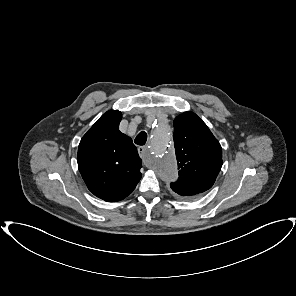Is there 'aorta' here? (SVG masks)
I'll use <instances>...</instances> for the list:
<instances>
[{"label":"aorta","mask_w":296,"mask_h":296,"mask_svg":"<svg viewBox=\"0 0 296 296\" xmlns=\"http://www.w3.org/2000/svg\"><path fill=\"white\" fill-rule=\"evenodd\" d=\"M152 159L155 171L165 181L177 177V162L170 152L171 127L162 119H156L152 125Z\"/></svg>","instance_id":"obj_1"}]
</instances>
